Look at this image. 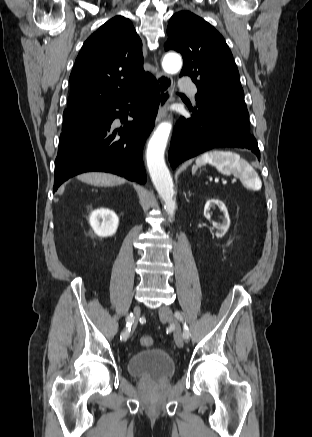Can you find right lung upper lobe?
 I'll list each match as a JSON object with an SVG mask.
<instances>
[{"label": "right lung upper lobe", "mask_w": 312, "mask_h": 437, "mask_svg": "<svg viewBox=\"0 0 312 437\" xmlns=\"http://www.w3.org/2000/svg\"><path fill=\"white\" fill-rule=\"evenodd\" d=\"M142 42L131 21L116 16L83 44L70 75L66 111L101 110L150 76L143 70Z\"/></svg>", "instance_id": "1"}]
</instances>
